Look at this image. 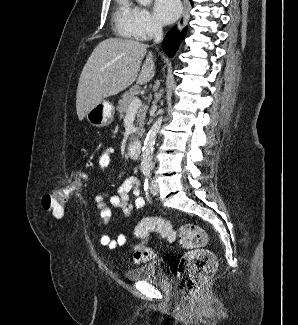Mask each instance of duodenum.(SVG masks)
I'll return each instance as SVG.
<instances>
[{
  "label": "duodenum",
  "instance_id": "obj_1",
  "mask_svg": "<svg viewBox=\"0 0 298 325\" xmlns=\"http://www.w3.org/2000/svg\"><path fill=\"white\" fill-rule=\"evenodd\" d=\"M128 152L132 158L138 159L142 153V143L139 140L131 141L128 145Z\"/></svg>",
  "mask_w": 298,
  "mask_h": 325
}]
</instances>
